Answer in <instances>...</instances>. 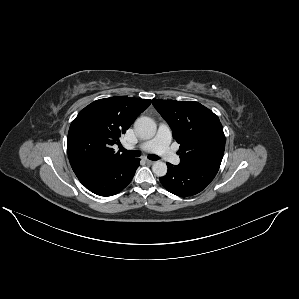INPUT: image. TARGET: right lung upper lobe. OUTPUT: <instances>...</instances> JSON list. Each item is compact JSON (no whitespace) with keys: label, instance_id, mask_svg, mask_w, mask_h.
I'll return each instance as SVG.
<instances>
[{"label":"right lung upper lobe","instance_id":"obj_1","mask_svg":"<svg viewBox=\"0 0 299 299\" xmlns=\"http://www.w3.org/2000/svg\"><path fill=\"white\" fill-rule=\"evenodd\" d=\"M150 103L148 99L118 96L96 100L81 110L67 138L74 173L131 158L115 152L112 146L120 143V137Z\"/></svg>","mask_w":299,"mask_h":299}]
</instances>
